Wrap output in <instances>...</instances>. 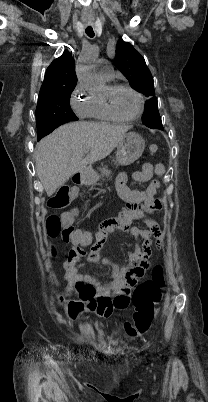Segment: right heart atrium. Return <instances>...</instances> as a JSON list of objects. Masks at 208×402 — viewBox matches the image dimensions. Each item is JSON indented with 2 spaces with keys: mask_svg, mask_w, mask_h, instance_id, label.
<instances>
[{
  "mask_svg": "<svg viewBox=\"0 0 208 402\" xmlns=\"http://www.w3.org/2000/svg\"><path fill=\"white\" fill-rule=\"evenodd\" d=\"M93 96L77 82L70 95V105L81 118H89L92 111Z\"/></svg>",
  "mask_w": 208,
  "mask_h": 402,
  "instance_id": "1",
  "label": "right heart atrium"
}]
</instances>
